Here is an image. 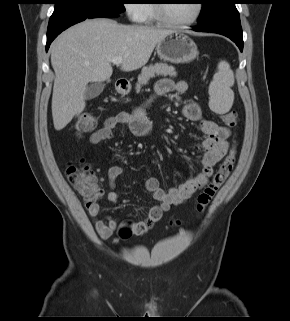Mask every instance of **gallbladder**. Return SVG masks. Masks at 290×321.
I'll return each instance as SVG.
<instances>
[{
  "label": "gallbladder",
  "instance_id": "gallbladder-1",
  "mask_svg": "<svg viewBox=\"0 0 290 321\" xmlns=\"http://www.w3.org/2000/svg\"><path fill=\"white\" fill-rule=\"evenodd\" d=\"M104 87V83H93L88 85L85 91V98L90 100L98 97L103 92Z\"/></svg>",
  "mask_w": 290,
  "mask_h": 321
}]
</instances>
